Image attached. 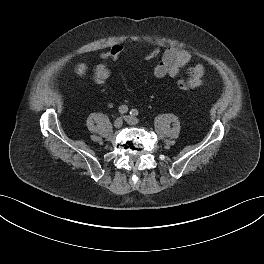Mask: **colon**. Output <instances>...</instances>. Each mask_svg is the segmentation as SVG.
Wrapping results in <instances>:
<instances>
[{"mask_svg":"<svg viewBox=\"0 0 264 264\" xmlns=\"http://www.w3.org/2000/svg\"><path fill=\"white\" fill-rule=\"evenodd\" d=\"M124 50V45L121 43H116L112 45L109 49L103 52L102 58L104 60L108 61H116L119 59L121 53ZM161 54V50L159 47H153L150 49L146 55H145V60L147 61H152L157 59ZM177 87L182 90V91H190L194 89V86L189 80H179L177 82Z\"/></svg>","mask_w":264,"mask_h":264,"instance_id":"1","label":"colon"}]
</instances>
